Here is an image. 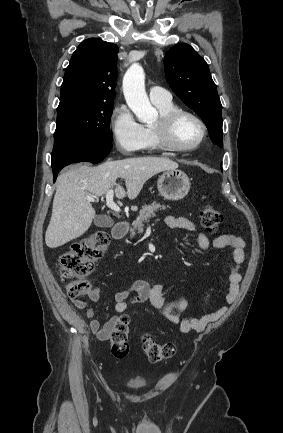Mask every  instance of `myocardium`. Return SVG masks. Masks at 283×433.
<instances>
[{"instance_id": "f54148a6", "label": "myocardium", "mask_w": 283, "mask_h": 433, "mask_svg": "<svg viewBox=\"0 0 283 433\" xmlns=\"http://www.w3.org/2000/svg\"><path fill=\"white\" fill-rule=\"evenodd\" d=\"M189 116L194 119L201 129L200 137L188 146H181L175 140V128L180 118ZM154 129L158 135L160 145L159 147L165 151L175 153H186L197 149L206 139L208 128L204 120L195 112L188 109L177 108L163 117L154 124Z\"/></svg>"}]
</instances>
